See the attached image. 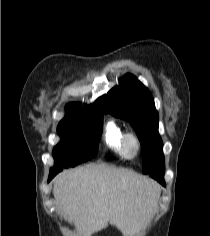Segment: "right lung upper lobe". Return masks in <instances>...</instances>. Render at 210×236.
<instances>
[{
  "label": "right lung upper lobe",
  "instance_id": "1",
  "mask_svg": "<svg viewBox=\"0 0 210 236\" xmlns=\"http://www.w3.org/2000/svg\"><path fill=\"white\" fill-rule=\"evenodd\" d=\"M70 113H86V112H103V97H100L90 106L85 105L83 108L79 103H70L66 107Z\"/></svg>",
  "mask_w": 210,
  "mask_h": 236
}]
</instances>
